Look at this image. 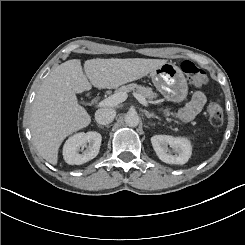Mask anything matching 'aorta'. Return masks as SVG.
<instances>
[{"label":"aorta","instance_id":"762f6f07","mask_svg":"<svg viewBox=\"0 0 245 245\" xmlns=\"http://www.w3.org/2000/svg\"><path fill=\"white\" fill-rule=\"evenodd\" d=\"M140 118L135 112H128L125 115V123L129 127H136L139 124Z\"/></svg>","mask_w":245,"mask_h":245}]
</instances>
